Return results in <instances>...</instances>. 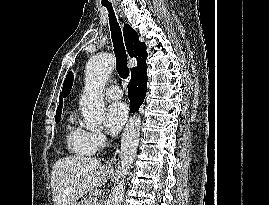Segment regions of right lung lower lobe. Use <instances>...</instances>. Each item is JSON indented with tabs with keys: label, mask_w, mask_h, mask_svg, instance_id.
<instances>
[{
	"label": "right lung lower lobe",
	"mask_w": 269,
	"mask_h": 205,
	"mask_svg": "<svg viewBox=\"0 0 269 205\" xmlns=\"http://www.w3.org/2000/svg\"><path fill=\"white\" fill-rule=\"evenodd\" d=\"M147 91V75L140 72L131 78L128 85V97L130 100V111L136 112L143 103Z\"/></svg>",
	"instance_id": "1"
}]
</instances>
